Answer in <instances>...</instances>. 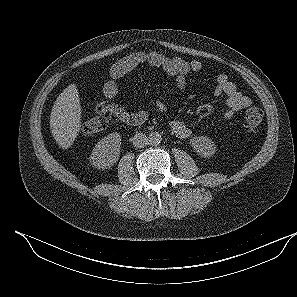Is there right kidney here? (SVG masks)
<instances>
[{
	"label": "right kidney",
	"mask_w": 297,
	"mask_h": 297,
	"mask_svg": "<svg viewBox=\"0 0 297 297\" xmlns=\"http://www.w3.org/2000/svg\"><path fill=\"white\" fill-rule=\"evenodd\" d=\"M121 135L117 132L102 138L94 147L90 163L98 169H107L119 160Z\"/></svg>",
	"instance_id": "ca27d5eb"
}]
</instances>
